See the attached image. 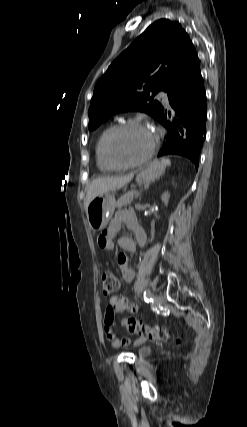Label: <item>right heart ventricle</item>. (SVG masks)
I'll use <instances>...</instances> for the list:
<instances>
[{"instance_id": "1", "label": "right heart ventricle", "mask_w": 247, "mask_h": 427, "mask_svg": "<svg viewBox=\"0 0 247 427\" xmlns=\"http://www.w3.org/2000/svg\"><path fill=\"white\" fill-rule=\"evenodd\" d=\"M115 127V125H109L107 126L99 135L96 144H95V159L98 169L101 172L109 173L113 172L117 169L112 167L108 161L105 158L104 155V143L108 136V134L111 132V130Z\"/></svg>"}]
</instances>
